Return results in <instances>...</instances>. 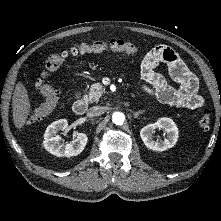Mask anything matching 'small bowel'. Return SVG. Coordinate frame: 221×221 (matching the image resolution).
Returning <instances> with one entry per match:
<instances>
[{
    "label": "small bowel",
    "mask_w": 221,
    "mask_h": 221,
    "mask_svg": "<svg viewBox=\"0 0 221 221\" xmlns=\"http://www.w3.org/2000/svg\"><path fill=\"white\" fill-rule=\"evenodd\" d=\"M160 63L167 65L170 76L178 83V88L170 86L166 79L155 71ZM141 76L149 84L143 86L142 90L155 96L161 103L194 111L202 109L204 101L198 94V79L170 47H153L142 59Z\"/></svg>",
    "instance_id": "small-bowel-1"
}]
</instances>
